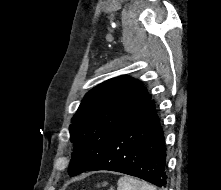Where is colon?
<instances>
[{
	"label": "colon",
	"instance_id": "colon-1",
	"mask_svg": "<svg viewBox=\"0 0 221 190\" xmlns=\"http://www.w3.org/2000/svg\"><path fill=\"white\" fill-rule=\"evenodd\" d=\"M106 185V183H103L102 186Z\"/></svg>",
	"mask_w": 221,
	"mask_h": 190
}]
</instances>
